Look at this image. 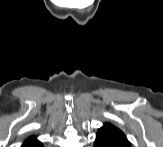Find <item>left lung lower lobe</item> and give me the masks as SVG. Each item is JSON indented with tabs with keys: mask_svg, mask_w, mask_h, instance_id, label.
I'll return each instance as SVG.
<instances>
[{
	"mask_svg": "<svg viewBox=\"0 0 163 147\" xmlns=\"http://www.w3.org/2000/svg\"><path fill=\"white\" fill-rule=\"evenodd\" d=\"M94 147H130V145L121 130L103 126L97 131Z\"/></svg>",
	"mask_w": 163,
	"mask_h": 147,
	"instance_id": "1",
	"label": "left lung lower lobe"
}]
</instances>
